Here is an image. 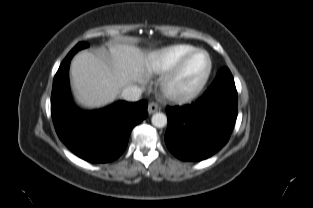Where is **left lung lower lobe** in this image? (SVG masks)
Listing matches in <instances>:
<instances>
[{
  "mask_svg": "<svg viewBox=\"0 0 313 208\" xmlns=\"http://www.w3.org/2000/svg\"><path fill=\"white\" fill-rule=\"evenodd\" d=\"M166 146L184 161H201L229 140L237 118L235 83L215 78L191 105L167 107Z\"/></svg>",
  "mask_w": 313,
  "mask_h": 208,
  "instance_id": "left-lung-lower-lobe-1",
  "label": "left lung lower lobe"
}]
</instances>
